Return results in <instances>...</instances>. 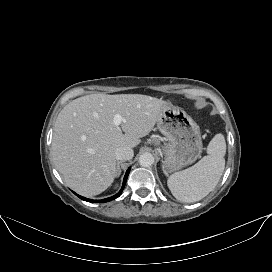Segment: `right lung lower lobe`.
Masks as SVG:
<instances>
[{
	"instance_id": "right-lung-lower-lobe-1",
	"label": "right lung lower lobe",
	"mask_w": 272,
	"mask_h": 272,
	"mask_svg": "<svg viewBox=\"0 0 272 272\" xmlns=\"http://www.w3.org/2000/svg\"><path fill=\"white\" fill-rule=\"evenodd\" d=\"M129 172H130V168L126 171V174H125V177H124V180H123V185H122L121 190H120L116 195H114V196H112V197H109V198H106V199H102V200H91V199H87V198L81 197V196H79V195H78V196H79V198H81L82 200H85V201H88V202H92V203H104V202H108V201L114 200V199L118 198V197L121 195V193H122V191H123V189H124V186H125V184H126V181H127V177H128ZM76 195H77V194H76Z\"/></svg>"
}]
</instances>
